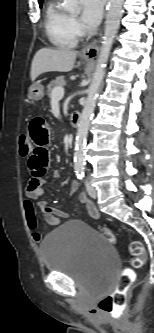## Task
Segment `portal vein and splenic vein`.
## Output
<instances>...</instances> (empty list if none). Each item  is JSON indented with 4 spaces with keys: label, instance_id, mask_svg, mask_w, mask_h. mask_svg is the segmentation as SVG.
<instances>
[{
    "label": "portal vein and splenic vein",
    "instance_id": "portal-vein-and-splenic-vein-1",
    "mask_svg": "<svg viewBox=\"0 0 154 333\" xmlns=\"http://www.w3.org/2000/svg\"><path fill=\"white\" fill-rule=\"evenodd\" d=\"M64 88L62 86L55 87L52 91L51 97L52 98H57V99H62L64 97Z\"/></svg>",
    "mask_w": 154,
    "mask_h": 333
}]
</instances>
